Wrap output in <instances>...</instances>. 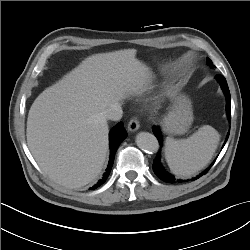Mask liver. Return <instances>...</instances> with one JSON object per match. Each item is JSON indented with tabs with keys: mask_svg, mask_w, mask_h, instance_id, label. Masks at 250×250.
Returning <instances> with one entry per match:
<instances>
[{
	"mask_svg": "<svg viewBox=\"0 0 250 250\" xmlns=\"http://www.w3.org/2000/svg\"><path fill=\"white\" fill-rule=\"evenodd\" d=\"M135 49L86 58L33 102L27 144L45 174L68 188H80L100 174L108 151L104 111L146 89L148 67Z\"/></svg>",
	"mask_w": 250,
	"mask_h": 250,
	"instance_id": "obj_1",
	"label": "liver"
}]
</instances>
